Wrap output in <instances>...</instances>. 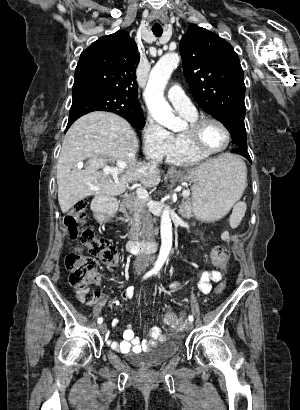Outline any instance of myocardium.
<instances>
[{
	"mask_svg": "<svg viewBox=\"0 0 300 410\" xmlns=\"http://www.w3.org/2000/svg\"><path fill=\"white\" fill-rule=\"evenodd\" d=\"M208 122H212L219 125L226 134L227 140L222 148L210 150L204 147L201 140V129L203 125ZM184 133L192 149L195 152L207 157L225 151L229 147L232 140L231 132L229 128L226 126V124L220 119L211 116H200L194 119L193 121L189 122Z\"/></svg>",
	"mask_w": 300,
	"mask_h": 410,
	"instance_id": "myocardium-1",
	"label": "myocardium"
}]
</instances>
